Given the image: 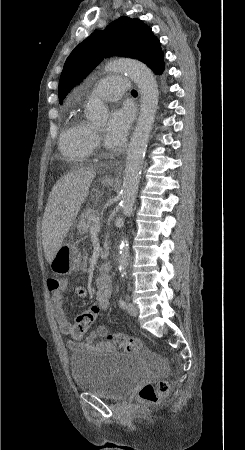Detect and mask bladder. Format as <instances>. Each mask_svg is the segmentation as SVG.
Here are the masks:
<instances>
[{"label": "bladder", "instance_id": "bladder-1", "mask_svg": "<svg viewBox=\"0 0 245 450\" xmlns=\"http://www.w3.org/2000/svg\"><path fill=\"white\" fill-rule=\"evenodd\" d=\"M71 375L79 392L104 399L127 396L145 378V368L135 355L83 351L70 362Z\"/></svg>", "mask_w": 245, "mask_h": 450}]
</instances>
